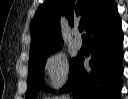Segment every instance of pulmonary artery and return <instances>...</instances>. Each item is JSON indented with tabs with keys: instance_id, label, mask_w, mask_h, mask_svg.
I'll list each match as a JSON object with an SVG mask.
<instances>
[{
	"instance_id": "e3ab8cb5",
	"label": "pulmonary artery",
	"mask_w": 128,
	"mask_h": 99,
	"mask_svg": "<svg viewBox=\"0 0 128 99\" xmlns=\"http://www.w3.org/2000/svg\"><path fill=\"white\" fill-rule=\"evenodd\" d=\"M74 44L76 47L82 46V40L78 33L75 34Z\"/></svg>"
}]
</instances>
